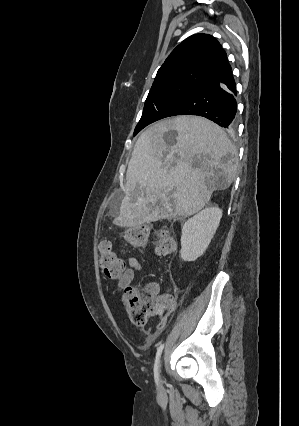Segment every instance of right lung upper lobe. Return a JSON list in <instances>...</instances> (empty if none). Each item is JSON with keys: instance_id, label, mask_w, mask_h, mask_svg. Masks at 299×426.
Returning <instances> with one entry per match:
<instances>
[{"instance_id": "1", "label": "right lung upper lobe", "mask_w": 299, "mask_h": 426, "mask_svg": "<svg viewBox=\"0 0 299 426\" xmlns=\"http://www.w3.org/2000/svg\"><path fill=\"white\" fill-rule=\"evenodd\" d=\"M231 70L219 42L208 34H195L180 43L158 70L152 87L167 83L200 86Z\"/></svg>"}]
</instances>
